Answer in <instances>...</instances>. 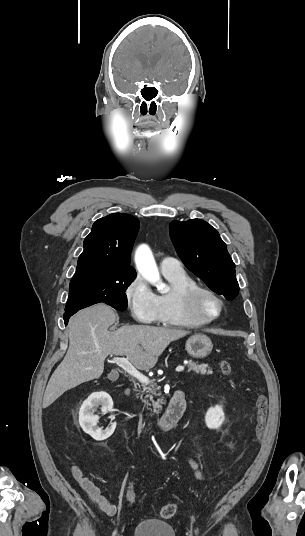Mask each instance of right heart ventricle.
<instances>
[{
  "mask_svg": "<svg viewBox=\"0 0 305 536\" xmlns=\"http://www.w3.org/2000/svg\"><path fill=\"white\" fill-rule=\"evenodd\" d=\"M171 284L168 293L157 296L159 312L157 322L164 327H188L191 321L185 318L177 303V294L185 289L199 285L197 280L184 270L181 272H162Z\"/></svg>",
  "mask_w": 305,
  "mask_h": 536,
  "instance_id": "right-heart-ventricle-1",
  "label": "right heart ventricle"
}]
</instances>
